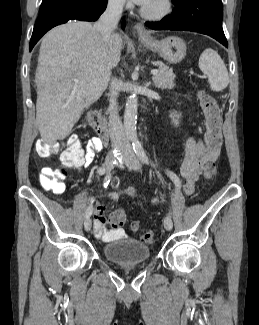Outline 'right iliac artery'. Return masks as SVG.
<instances>
[{"mask_svg":"<svg viewBox=\"0 0 259 325\" xmlns=\"http://www.w3.org/2000/svg\"><path fill=\"white\" fill-rule=\"evenodd\" d=\"M97 173L99 175H104L105 174V167L102 166L100 167L98 170H97ZM92 211H93V207L92 206H89L87 209H86V212H85V217L86 218H89L92 214Z\"/></svg>","mask_w":259,"mask_h":325,"instance_id":"82829eb1","label":"right iliac artery"}]
</instances>
